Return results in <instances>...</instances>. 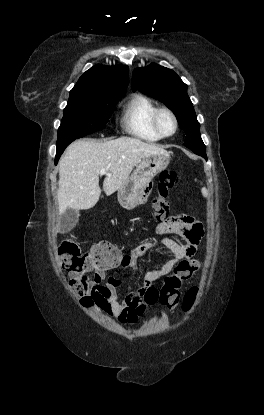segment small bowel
Listing matches in <instances>:
<instances>
[{
    "instance_id": "small-bowel-1",
    "label": "small bowel",
    "mask_w": 264,
    "mask_h": 415,
    "mask_svg": "<svg viewBox=\"0 0 264 415\" xmlns=\"http://www.w3.org/2000/svg\"><path fill=\"white\" fill-rule=\"evenodd\" d=\"M160 229L178 234L184 242L180 243L171 238H164L162 244L172 254V257L160 267L146 272L143 276V285L131 291L123 301L119 300L117 294V288L121 285V281L113 276L106 277L107 268L88 269L76 276L86 294L118 322L130 325L137 322L148 307L145 303L147 289L154 286L159 279L170 274L177 264L192 257L196 252L197 243L204 233V229L198 221L180 215L171 216L160 225ZM156 247L157 244L151 241L133 247L124 255L120 266L125 269H137L138 259Z\"/></svg>"
}]
</instances>
